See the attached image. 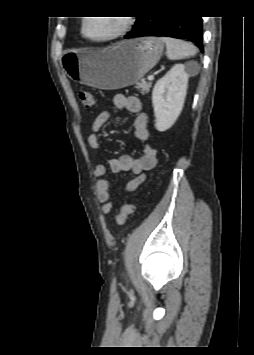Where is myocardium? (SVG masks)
<instances>
[{"instance_id":"myocardium-1","label":"myocardium","mask_w":254,"mask_h":355,"mask_svg":"<svg viewBox=\"0 0 254 355\" xmlns=\"http://www.w3.org/2000/svg\"><path fill=\"white\" fill-rule=\"evenodd\" d=\"M120 17L122 19V26L117 32H115L111 36H108L105 38H92V37L88 36L85 32V26H86V22H87L88 18H84V20L82 21L81 33L84 38H86L87 40H89L91 42H95V43H104V42L116 40V39L124 36L134 25V18L132 16L126 15V16H120Z\"/></svg>"}]
</instances>
